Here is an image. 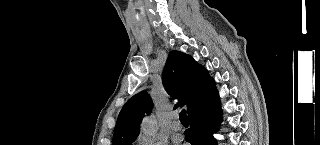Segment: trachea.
<instances>
[{
	"mask_svg": "<svg viewBox=\"0 0 320 145\" xmlns=\"http://www.w3.org/2000/svg\"><path fill=\"white\" fill-rule=\"evenodd\" d=\"M179 118H180L181 122L188 121V118H187V115H186V111L184 109L181 110V112L179 114Z\"/></svg>",
	"mask_w": 320,
	"mask_h": 145,
	"instance_id": "3493384b",
	"label": "trachea"
}]
</instances>
